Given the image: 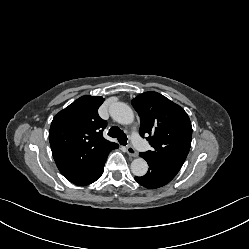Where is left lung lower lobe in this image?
Masks as SVG:
<instances>
[{"label": "left lung lower lobe", "instance_id": "obj_1", "mask_svg": "<svg viewBox=\"0 0 249 249\" xmlns=\"http://www.w3.org/2000/svg\"><path fill=\"white\" fill-rule=\"evenodd\" d=\"M149 169L146 175L135 177V180L142 186L149 189H156L168 184L176 174L161 170L148 162Z\"/></svg>", "mask_w": 249, "mask_h": 249}]
</instances>
